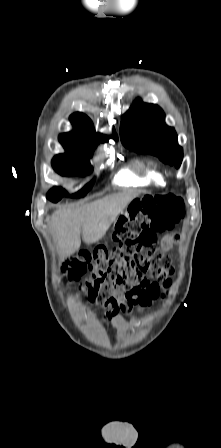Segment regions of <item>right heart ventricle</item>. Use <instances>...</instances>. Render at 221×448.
<instances>
[{
	"label": "right heart ventricle",
	"mask_w": 221,
	"mask_h": 448,
	"mask_svg": "<svg viewBox=\"0 0 221 448\" xmlns=\"http://www.w3.org/2000/svg\"><path fill=\"white\" fill-rule=\"evenodd\" d=\"M140 170L132 168L123 169L116 177L114 182L121 186H146V185H164V179L161 173L154 167H145L139 165Z\"/></svg>",
	"instance_id": "obj_1"
}]
</instances>
